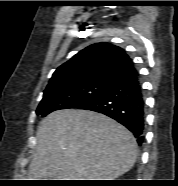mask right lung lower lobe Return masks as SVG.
<instances>
[{
	"label": "right lung lower lobe",
	"mask_w": 178,
	"mask_h": 186,
	"mask_svg": "<svg viewBox=\"0 0 178 186\" xmlns=\"http://www.w3.org/2000/svg\"><path fill=\"white\" fill-rule=\"evenodd\" d=\"M107 115L128 128L138 142L143 141L145 100L136 71L111 83L95 98L78 107Z\"/></svg>",
	"instance_id": "right-lung-lower-lobe-1"
}]
</instances>
